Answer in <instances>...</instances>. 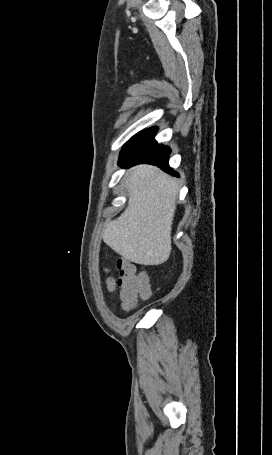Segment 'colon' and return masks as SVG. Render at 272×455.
<instances>
[{"label":"colon","instance_id":"obj_1","mask_svg":"<svg viewBox=\"0 0 272 455\" xmlns=\"http://www.w3.org/2000/svg\"><path fill=\"white\" fill-rule=\"evenodd\" d=\"M119 277L117 280L109 278L107 288L114 290L120 289V296L124 309H130L140 300L150 297L151 290L148 278L145 273L140 272L134 264L126 261H118Z\"/></svg>","mask_w":272,"mask_h":455}]
</instances>
